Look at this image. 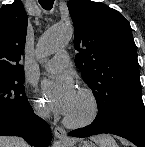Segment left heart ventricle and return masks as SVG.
<instances>
[{
	"instance_id": "obj_1",
	"label": "left heart ventricle",
	"mask_w": 145,
	"mask_h": 147,
	"mask_svg": "<svg viewBox=\"0 0 145 147\" xmlns=\"http://www.w3.org/2000/svg\"><path fill=\"white\" fill-rule=\"evenodd\" d=\"M88 110L89 104L87 100L77 93V97L73 104V107L67 116L73 119L82 118L88 113Z\"/></svg>"
}]
</instances>
